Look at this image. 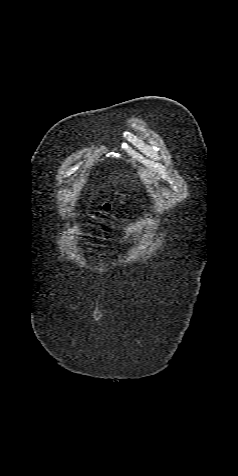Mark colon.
Segmentation results:
<instances>
[{"mask_svg":"<svg viewBox=\"0 0 238 476\" xmlns=\"http://www.w3.org/2000/svg\"><path fill=\"white\" fill-rule=\"evenodd\" d=\"M112 209V205L110 203H105L102 210H101V213H108L110 212Z\"/></svg>","mask_w":238,"mask_h":476,"instance_id":"colon-1","label":"colon"}]
</instances>
